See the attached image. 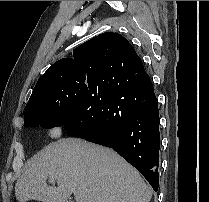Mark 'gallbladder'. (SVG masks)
<instances>
[{
  "mask_svg": "<svg viewBox=\"0 0 209 202\" xmlns=\"http://www.w3.org/2000/svg\"><path fill=\"white\" fill-rule=\"evenodd\" d=\"M66 202H73L71 199H68Z\"/></svg>",
  "mask_w": 209,
  "mask_h": 202,
  "instance_id": "bac80fb5",
  "label": "gallbladder"
}]
</instances>
